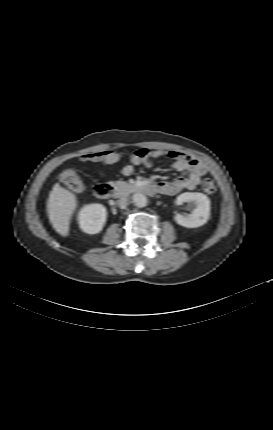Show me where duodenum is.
<instances>
[{
	"mask_svg": "<svg viewBox=\"0 0 273 430\" xmlns=\"http://www.w3.org/2000/svg\"><path fill=\"white\" fill-rule=\"evenodd\" d=\"M139 191L153 194L156 192V189L153 185H141L136 188ZM113 192V187L107 183H99L95 186V195L100 199H107Z\"/></svg>",
	"mask_w": 273,
	"mask_h": 430,
	"instance_id": "duodenum-1",
	"label": "duodenum"
}]
</instances>
